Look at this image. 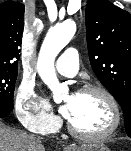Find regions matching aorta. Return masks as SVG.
Instances as JSON below:
<instances>
[{
    "mask_svg": "<svg viewBox=\"0 0 131 151\" xmlns=\"http://www.w3.org/2000/svg\"><path fill=\"white\" fill-rule=\"evenodd\" d=\"M76 31L75 23L65 21L49 30L40 49L38 56V73L41 79L53 91L54 96L61 92L55 69L54 61L58 53L69 43Z\"/></svg>",
    "mask_w": 131,
    "mask_h": 151,
    "instance_id": "aorta-1",
    "label": "aorta"
}]
</instances>
